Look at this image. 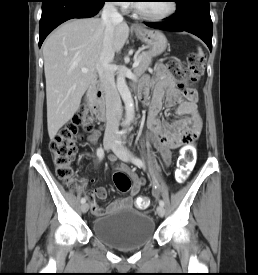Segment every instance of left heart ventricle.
Masks as SVG:
<instances>
[{
  "instance_id": "obj_1",
  "label": "left heart ventricle",
  "mask_w": 258,
  "mask_h": 275,
  "mask_svg": "<svg viewBox=\"0 0 258 275\" xmlns=\"http://www.w3.org/2000/svg\"><path fill=\"white\" fill-rule=\"evenodd\" d=\"M148 3H139L140 7L148 14L159 16L166 13L170 8L169 1H144Z\"/></svg>"
}]
</instances>
